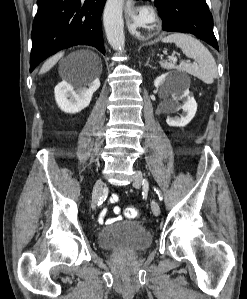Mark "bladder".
<instances>
[{"mask_svg":"<svg viewBox=\"0 0 247 299\" xmlns=\"http://www.w3.org/2000/svg\"><path fill=\"white\" fill-rule=\"evenodd\" d=\"M98 244L112 251H142L152 243L148 229L135 221H118L98 232Z\"/></svg>","mask_w":247,"mask_h":299,"instance_id":"31cf9c89","label":"bladder"}]
</instances>
